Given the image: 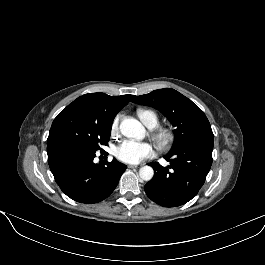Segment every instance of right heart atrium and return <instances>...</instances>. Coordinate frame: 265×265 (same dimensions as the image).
Masks as SVG:
<instances>
[{
    "mask_svg": "<svg viewBox=\"0 0 265 265\" xmlns=\"http://www.w3.org/2000/svg\"><path fill=\"white\" fill-rule=\"evenodd\" d=\"M120 116H116L111 123V132L113 134L119 131Z\"/></svg>",
    "mask_w": 265,
    "mask_h": 265,
    "instance_id": "1",
    "label": "right heart atrium"
}]
</instances>
